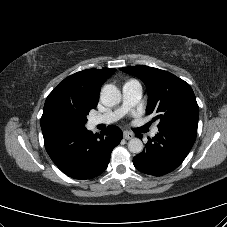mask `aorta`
Wrapping results in <instances>:
<instances>
[{
    "label": "aorta",
    "instance_id": "1",
    "mask_svg": "<svg viewBox=\"0 0 227 227\" xmlns=\"http://www.w3.org/2000/svg\"><path fill=\"white\" fill-rule=\"evenodd\" d=\"M100 99L105 106L111 107L121 101V92L115 85L107 84L101 90ZM128 149L131 153L139 154L143 151V143L139 138H133L128 142Z\"/></svg>",
    "mask_w": 227,
    "mask_h": 227
}]
</instances>
